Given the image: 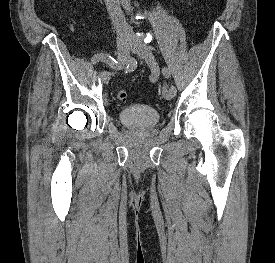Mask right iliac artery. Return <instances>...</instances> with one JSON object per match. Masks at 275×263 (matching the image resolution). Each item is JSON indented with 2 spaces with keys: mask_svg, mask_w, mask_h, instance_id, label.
I'll return each mask as SVG.
<instances>
[{
  "mask_svg": "<svg viewBox=\"0 0 275 263\" xmlns=\"http://www.w3.org/2000/svg\"><path fill=\"white\" fill-rule=\"evenodd\" d=\"M91 61L93 64H96L99 61H102L111 67H117V68L121 69V66L118 65V62L112 57L111 54H105V53L95 54L92 57Z\"/></svg>",
  "mask_w": 275,
  "mask_h": 263,
  "instance_id": "obj_1",
  "label": "right iliac artery"
}]
</instances>
